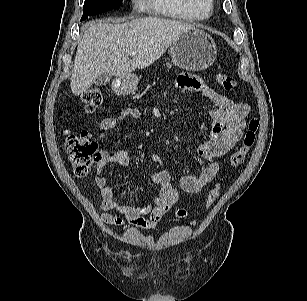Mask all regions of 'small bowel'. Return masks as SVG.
Masks as SVG:
<instances>
[{
  "label": "small bowel",
  "instance_id": "1",
  "mask_svg": "<svg viewBox=\"0 0 307 301\" xmlns=\"http://www.w3.org/2000/svg\"><path fill=\"white\" fill-rule=\"evenodd\" d=\"M177 86L189 90L213 103L209 110L212 121L211 134L208 141L198 147L199 156L207 163L198 177L184 175L180 186L184 192L198 193L210 183L219 171L217 159L228 153L241 139L245 127V118L250 112V106L237 103L230 98L211 89L195 76L180 75ZM141 111L135 107L122 109L117 116L104 118L99 124V139L105 141L107 134L115 130L120 121L127 118H140ZM97 165L95 184L100 190L101 207L104 212L101 219L104 223L115 226L130 225L132 227L151 230L161 221L162 217L177 203L179 192L172 185L171 175L160 170L152 174L151 181L159 187V195L153 201L138 207L120 205L116 202L113 189L107 184L104 175L109 165H129V157L125 150L108 152L102 150ZM151 159L161 164L160 157L152 154Z\"/></svg>",
  "mask_w": 307,
  "mask_h": 301
}]
</instances>
